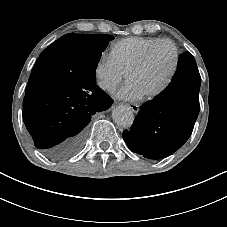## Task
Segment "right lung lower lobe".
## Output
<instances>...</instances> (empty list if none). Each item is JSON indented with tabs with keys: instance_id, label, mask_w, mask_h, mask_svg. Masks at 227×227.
<instances>
[{
	"instance_id": "right-lung-lower-lobe-1",
	"label": "right lung lower lobe",
	"mask_w": 227,
	"mask_h": 227,
	"mask_svg": "<svg viewBox=\"0 0 227 227\" xmlns=\"http://www.w3.org/2000/svg\"><path fill=\"white\" fill-rule=\"evenodd\" d=\"M112 103L96 82L68 86L50 81L26 93L23 120L35 147L48 159L62 160L81 149L91 117Z\"/></svg>"
}]
</instances>
